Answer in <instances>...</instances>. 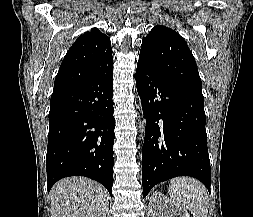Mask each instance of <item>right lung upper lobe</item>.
<instances>
[{"label": "right lung upper lobe", "instance_id": "right-lung-upper-lobe-1", "mask_svg": "<svg viewBox=\"0 0 253 217\" xmlns=\"http://www.w3.org/2000/svg\"><path fill=\"white\" fill-rule=\"evenodd\" d=\"M112 67L110 38L92 28L77 38L65 55L54 83V91L87 82Z\"/></svg>", "mask_w": 253, "mask_h": 217}]
</instances>
